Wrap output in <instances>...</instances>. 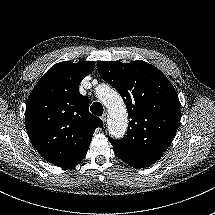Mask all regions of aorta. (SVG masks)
<instances>
[{
    "label": "aorta",
    "instance_id": "aorta-1",
    "mask_svg": "<svg viewBox=\"0 0 215 215\" xmlns=\"http://www.w3.org/2000/svg\"><path fill=\"white\" fill-rule=\"evenodd\" d=\"M97 90V97L105 104L110 114V134L116 138L123 137L128 128V113L122 97L106 84L99 85Z\"/></svg>",
    "mask_w": 215,
    "mask_h": 215
}]
</instances>
